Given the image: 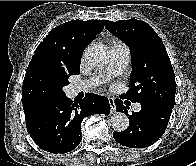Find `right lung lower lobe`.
Segmentation results:
<instances>
[{"mask_svg":"<svg viewBox=\"0 0 196 166\" xmlns=\"http://www.w3.org/2000/svg\"><path fill=\"white\" fill-rule=\"evenodd\" d=\"M27 131L44 151L66 153L82 140L81 122L94 113L109 114L106 97L88 93L79 102L66 95L59 98L23 104Z\"/></svg>","mask_w":196,"mask_h":166,"instance_id":"right-lung-lower-lobe-1","label":"right lung lower lobe"}]
</instances>
